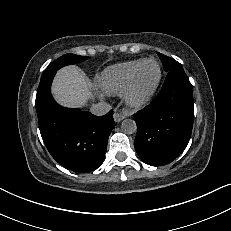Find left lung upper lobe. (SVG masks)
Returning <instances> with one entry per match:
<instances>
[{"label":"left lung upper lobe","instance_id":"1","mask_svg":"<svg viewBox=\"0 0 231 231\" xmlns=\"http://www.w3.org/2000/svg\"><path fill=\"white\" fill-rule=\"evenodd\" d=\"M159 58L161 59L162 63H163V67L165 69L166 72H169L170 70L174 69V68H178V67H182L181 64L179 62H177L176 60L169 58L161 53H158Z\"/></svg>","mask_w":231,"mask_h":231}]
</instances>
